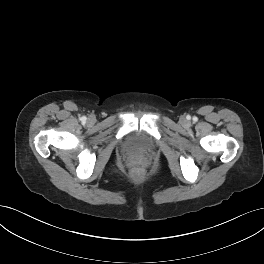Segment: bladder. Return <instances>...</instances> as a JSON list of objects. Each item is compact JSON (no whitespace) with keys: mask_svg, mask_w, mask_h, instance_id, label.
I'll list each match as a JSON object with an SVG mask.
<instances>
[{"mask_svg":"<svg viewBox=\"0 0 264 264\" xmlns=\"http://www.w3.org/2000/svg\"><path fill=\"white\" fill-rule=\"evenodd\" d=\"M152 142L144 133H134L130 135L123 146V149L130 154L144 155L152 150Z\"/></svg>","mask_w":264,"mask_h":264,"instance_id":"obj_1","label":"bladder"}]
</instances>
